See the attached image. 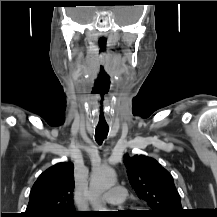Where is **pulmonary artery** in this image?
<instances>
[{
    "instance_id": "obj_1",
    "label": "pulmonary artery",
    "mask_w": 217,
    "mask_h": 217,
    "mask_svg": "<svg viewBox=\"0 0 217 217\" xmlns=\"http://www.w3.org/2000/svg\"><path fill=\"white\" fill-rule=\"evenodd\" d=\"M126 199V189L122 186H115L101 197V201L110 205H121Z\"/></svg>"
}]
</instances>
